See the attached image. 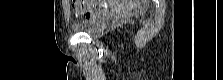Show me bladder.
Listing matches in <instances>:
<instances>
[{
	"instance_id": "bladder-1",
	"label": "bladder",
	"mask_w": 223,
	"mask_h": 80,
	"mask_svg": "<svg viewBox=\"0 0 223 80\" xmlns=\"http://www.w3.org/2000/svg\"><path fill=\"white\" fill-rule=\"evenodd\" d=\"M110 21L109 14H102L89 19L82 20L73 25L75 31L88 35H96L103 31Z\"/></svg>"
}]
</instances>
